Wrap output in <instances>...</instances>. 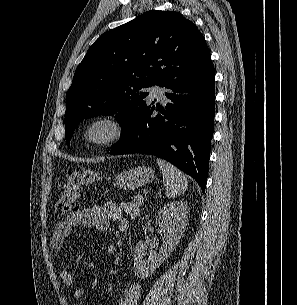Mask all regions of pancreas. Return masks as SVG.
I'll return each mask as SVG.
<instances>
[{"mask_svg": "<svg viewBox=\"0 0 297 305\" xmlns=\"http://www.w3.org/2000/svg\"><path fill=\"white\" fill-rule=\"evenodd\" d=\"M143 202V197L141 195H136L132 202L123 205L124 211L130 215L131 219H135Z\"/></svg>", "mask_w": 297, "mask_h": 305, "instance_id": "cf45deb5", "label": "pancreas"}]
</instances>
